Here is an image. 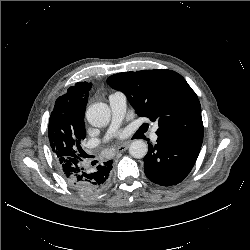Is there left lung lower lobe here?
<instances>
[{"mask_svg": "<svg viewBox=\"0 0 250 250\" xmlns=\"http://www.w3.org/2000/svg\"><path fill=\"white\" fill-rule=\"evenodd\" d=\"M202 140L158 137L148 144L144 157L147 178L161 186H172L186 178L199 155Z\"/></svg>", "mask_w": 250, "mask_h": 250, "instance_id": "obj_1", "label": "left lung lower lobe"}]
</instances>
